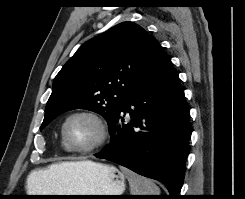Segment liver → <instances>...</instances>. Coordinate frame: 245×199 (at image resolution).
Returning <instances> with one entry per match:
<instances>
[{"instance_id": "obj_1", "label": "liver", "mask_w": 245, "mask_h": 199, "mask_svg": "<svg viewBox=\"0 0 245 199\" xmlns=\"http://www.w3.org/2000/svg\"><path fill=\"white\" fill-rule=\"evenodd\" d=\"M92 163L91 161L61 162L46 169L32 171L28 177L29 186H36L44 193H61L66 190V183L74 170Z\"/></svg>"}]
</instances>
